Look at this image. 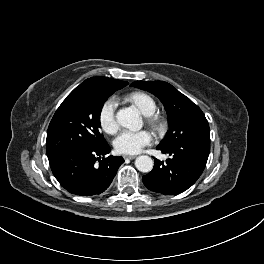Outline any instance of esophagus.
I'll list each match as a JSON object with an SVG mask.
<instances>
[{
  "label": "esophagus",
  "mask_w": 264,
  "mask_h": 264,
  "mask_svg": "<svg viewBox=\"0 0 264 264\" xmlns=\"http://www.w3.org/2000/svg\"><path fill=\"white\" fill-rule=\"evenodd\" d=\"M123 157H124V159H130V160H132V159H135V158H136V156H135V155H124Z\"/></svg>",
  "instance_id": "esophagus-1"
}]
</instances>
